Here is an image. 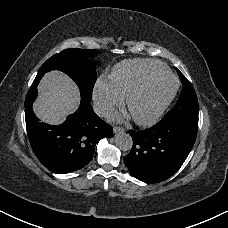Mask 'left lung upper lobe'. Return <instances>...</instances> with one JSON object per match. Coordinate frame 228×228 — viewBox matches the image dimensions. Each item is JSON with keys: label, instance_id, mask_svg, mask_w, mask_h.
<instances>
[{"label": "left lung upper lobe", "instance_id": "1", "mask_svg": "<svg viewBox=\"0 0 228 228\" xmlns=\"http://www.w3.org/2000/svg\"><path fill=\"white\" fill-rule=\"evenodd\" d=\"M183 89L176 105L159 122L162 125L190 124L198 127V101L195 90L187 78L176 68Z\"/></svg>", "mask_w": 228, "mask_h": 228}]
</instances>
